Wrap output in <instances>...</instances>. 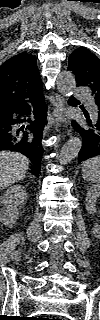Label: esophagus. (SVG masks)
I'll return each mask as SVG.
<instances>
[{"label":"esophagus","mask_w":100,"mask_h":320,"mask_svg":"<svg viewBox=\"0 0 100 320\" xmlns=\"http://www.w3.org/2000/svg\"><path fill=\"white\" fill-rule=\"evenodd\" d=\"M56 102L57 105L54 108L52 114L48 115V124L44 129V134L52 127L55 123L56 126L59 125V121H62V123L69 125V121L63 118V112L65 110V98L57 95L56 96ZM71 133V129L68 130V135Z\"/></svg>","instance_id":"34e87169"}]
</instances>
